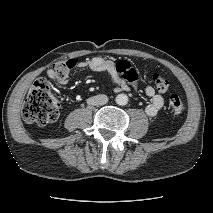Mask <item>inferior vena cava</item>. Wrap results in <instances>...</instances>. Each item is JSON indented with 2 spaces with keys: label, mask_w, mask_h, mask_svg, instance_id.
Masks as SVG:
<instances>
[{
  "label": "inferior vena cava",
  "mask_w": 213,
  "mask_h": 213,
  "mask_svg": "<svg viewBox=\"0 0 213 213\" xmlns=\"http://www.w3.org/2000/svg\"><path fill=\"white\" fill-rule=\"evenodd\" d=\"M87 102L90 105L100 106V105H104L108 102V97L104 94H100V95L90 97L87 100Z\"/></svg>",
  "instance_id": "1"
}]
</instances>
